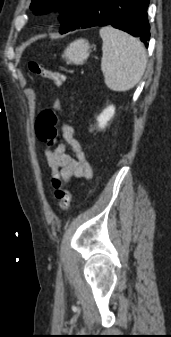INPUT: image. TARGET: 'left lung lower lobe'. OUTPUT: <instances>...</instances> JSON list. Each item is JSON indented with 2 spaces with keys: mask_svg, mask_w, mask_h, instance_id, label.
Here are the masks:
<instances>
[{
  "mask_svg": "<svg viewBox=\"0 0 171 337\" xmlns=\"http://www.w3.org/2000/svg\"><path fill=\"white\" fill-rule=\"evenodd\" d=\"M148 5L149 0H86L76 23L69 31L111 25L139 37L148 47Z\"/></svg>",
  "mask_w": 171,
  "mask_h": 337,
  "instance_id": "0a47b994",
  "label": "left lung lower lobe"
}]
</instances>
